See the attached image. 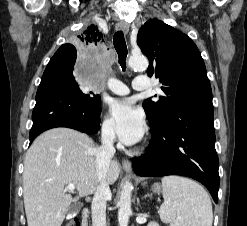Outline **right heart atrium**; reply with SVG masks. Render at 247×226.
<instances>
[{"mask_svg": "<svg viewBox=\"0 0 247 226\" xmlns=\"http://www.w3.org/2000/svg\"><path fill=\"white\" fill-rule=\"evenodd\" d=\"M101 135L106 141H113L115 138V129L113 122L108 118L104 117L100 124Z\"/></svg>", "mask_w": 247, "mask_h": 226, "instance_id": "d8ad5b80", "label": "right heart atrium"}]
</instances>
